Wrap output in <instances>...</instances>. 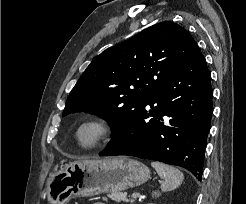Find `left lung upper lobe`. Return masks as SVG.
<instances>
[{"label":"left lung upper lobe","instance_id":"left-lung-upper-lobe-1","mask_svg":"<svg viewBox=\"0 0 246 204\" xmlns=\"http://www.w3.org/2000/svg\"><path fill=\"white\" fill-rule=\"evenodd\" d=\"M196 47L190 33L173 22L143 30L93 58L70 92L62 116L97 114L110 123L115 136Z\"/></svg>","mask_w":246,"mask_h":204}]
</instances>
